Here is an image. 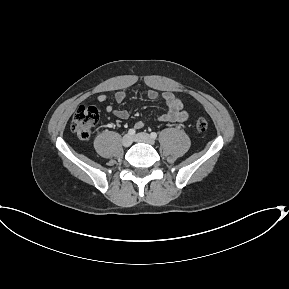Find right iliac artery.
<instances>
[{"label": "right iliac artery", "mask_w": 289, "mask_h": 289, "mask_svg": "<svg viewBox=\"0 0 289 289\" xmlns=\"http://www.w3.org/2000/svg\"><path fill=\"white\" fill-rule=\"evenodd\" d=\"M136 133V131L134 129H129L128 134L130 136H133Z\"/></svg>", "instance_id": "82829eb1"}]
</instances>
